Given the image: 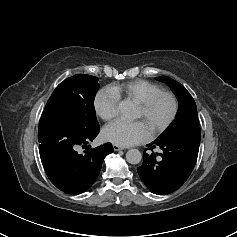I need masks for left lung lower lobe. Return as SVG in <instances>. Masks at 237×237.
I'll return each instance as SVG.
<instances>
[{"label": "left lung lower lobe", "instance_id": "0a47b994", "mask_svg": "<svg viewBox=\"0 0 237 237\" xmlns=\"http://www.w3.org/2000/svg\"><path fill=\"white\" fill-rule=\"evenodd\" d=\"M199 144L200 140L195 139L155 140L148 144V150L160 147L162 152L143 153V164L137 168L141 180L154 194L174 192L190 176L197 160Z\"/></svg>", "mask_w": 237, "mask_h": 237}]
</instances>
